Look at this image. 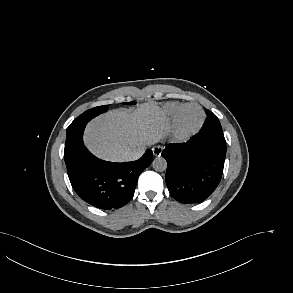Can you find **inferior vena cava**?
Segmentation results:
<instances>
[{
  "instance_id": "602c4592",
  "label": "inferior vena cava",
  "mask_w": 293,
  "mask_h": 293,
  "mask_svg": "<svg viewBox=\"0 0 293 293\" xmlns=\"http://www.w3.org/2000/svg\"><path fill=\"white\" fill-rule=\"evenodd\" d=\"M143 153H144V150L142 149L127 152L126 160L127 161L137 160L143 155Z\"/></svg>"
}]
</instances>
